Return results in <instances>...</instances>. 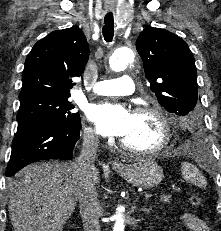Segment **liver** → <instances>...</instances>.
<instances>
[{"mask_svg":"<svg viewBox=\"0 0 221 231\" xmlns=\"http://www.w3.org/2000/svg\"><path fill=\"white\" fill-rule=\"evenodd\" d=\"M6 189L14 231H62L79 200L74 162L31 164L10 178Z\"/></svg>","mask_w":221,"mask_h":231,"instance_id":"obj_1","label":"liver"}]
</instances>
